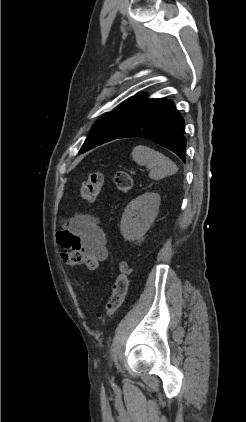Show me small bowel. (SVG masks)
I'll return each instance as SVG.
<instances>
[{
    "label": "small bowel",
    "instance_id": "c3829d8e",
    "mask_svg": "<svg viewBox=\"0 0 246 422\" xmlns=\"http://www.w3.org/2000/svg\"><path fill=\"white\" fill-rule=\"evenodd\" d=\"M57 242L65 250H79L103 262L108 258L106 237L98 220L91 215H78L57 233Z\"/></svg>",
    "mask_w": 246,
    "mask_h": 422
}]
</instances>
